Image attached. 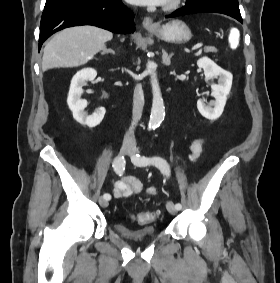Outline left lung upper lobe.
I'll return each instance as SVG.
<instances>
[{
	"mask_svg": "<svg viewBox=\"0 0 280 283\" xmlns=\"http://www.w3.org/2000/svg\"><path fill=\"white\" fill-rule=\"evenodd\" d=\"M187 5L203 4L222 8L230 13L240 16L238 0H186Z\"/></svg>",
	"mask_w": 280,
	"mask_h": 283,
	"instance_id": "obj_1",
	"label": "left lung upper lobe"
}]
</instances>
